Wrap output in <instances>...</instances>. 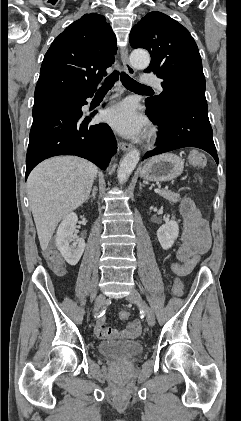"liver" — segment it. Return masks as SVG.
Segmentation results:
<instances>
[{"instance_id": "1", "label": "liver", "mask_w": 241, "mask_h": 421, "mask_svg": "<svg viewBox=\"0 0 241 421\" xmlns=\"http://www.w3.org/2000/svg\"><path fill=\"white\" fill-rule=\"evenodd\" d=\"M98 168L76 156H57L36 166L27 193L41 249L45 251L60 222L89 197Z\"/></svg>"}]
</instances>
